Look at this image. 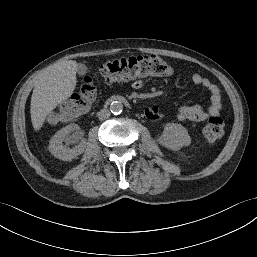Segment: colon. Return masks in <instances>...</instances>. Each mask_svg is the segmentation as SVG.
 <instances>
[{
    "mask_svg": "<svg viewBox=\"0 0 257 257\" xmlns=\"http://www.w3.org/2000/svg\"><path fill=\"white\" fill-rule=\"evenodd\" d=\"M169 65L157 55H139L107 61L98 68V76L106 82L129 81L142 77L165 76ZM96 100V88L91 75L83 78L80 89L72 98L50 115L54 122L70 121L85 114ZM202 135L209 141L220 139L224 133V122L219 117L210 118L201 128Z\"/></svg>",
    "mask_w": 257,
    "mask_h": 257,
    "instance_id": "obj_1",
    "label": "colon"
}]
</instances>
